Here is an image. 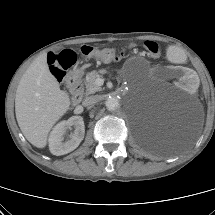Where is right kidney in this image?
<instances>
[{"label":"right kidney","mask_w":215,"mask_h":215,"mask_svg":"<svg viewBox=\"0 0 215 215\" xmlns=\"http://www.w3.org/2000/svg\"><path fill=\"white\" fill-rule=\"evenodd\" d=\"M74 126L70 139L64 141L68 128ZM85 126L81 116H72L66 121L58 123L50 133L49 149L53 155L60 156L76 149L84 138Z\"/></svg>","instance_id":"right-kidney-1"}]
</instances>
